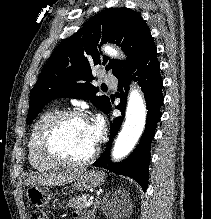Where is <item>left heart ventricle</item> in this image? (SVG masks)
<instances>
[{"label": "left heart ventricle", "mask_w": 211, "mask_h": 219, "mask_svg": "<svg viewBox=\"0 0 211 219\" xmlns=\"http://www.w3.org/2000/svg\"><path fill=\"white\" fill-rule=\"evenodd\" d=\"M56 145L58 150L70 159H84L96 147L87 121L77 119L62 124L56 134Z\"/></svg>", "instance_id": "obj_1"}]
</instances>
